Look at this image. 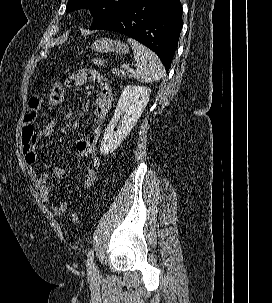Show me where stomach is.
I'll list each match as a JSON object with an SVG mask.
<instances>
[{"label": "stomach", "instance_id": "1", "mask_svg": "<svg viewBox=\"0 0 272 303\" xmlns=\"http://www.w3.org/2000/svg\"><path fill=\"white\" fill-rule=\"evenodd\" d=\"M91 49L100 53L116 52L120 55L129 52V47L127 44L109 38H101L96 40L92 43Z\"/></svg>", "mask_w": 272, "mask_h": 303}]
</instances>
